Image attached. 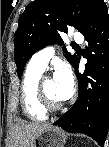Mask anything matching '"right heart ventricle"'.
I'll use <instances>...</instances> for the list:
<instances>
[{
	"label": "right heart ventricle",
	"instance_id": "right-heart-ventricle-1",
	"mask_svg": "<svg viewBox=\"0 0 109 147\" xmlns=\"http://www.w3.org/2000/svg\"><path fill=\"white\" fill-rule=\"evenodd\" d=\"M43 71L27 66L21 85V104L24 113L33 121H43L47 118L45 111L39 104L37 87Z\"/></svg>",
	"mask_w": 109,
	"mask_h": 147
}]
</instances>
